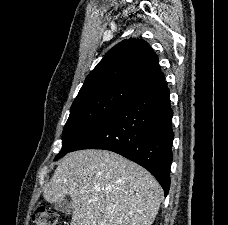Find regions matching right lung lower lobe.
Returning <instances> with one entry per match:
<instances>
[{
	"mask_svg": "<svg viewBox=\"0 0 228 225\" xmlns=\"http://www.w3.org/2000/svg\"><path fill=\"white\" fill-rule=\"evenodd\" d=\"M172 116L169 89L161 73L84 135L70 152L82 149L116 152L150 171L166 196L174 138Z\"/></svg>",
	"mask_w": 228,
	"mask_h": 225,
	"instance_id": "obj_1",
	"label": "right lung lower lobe"
}]
</instances>
